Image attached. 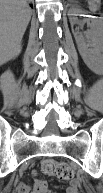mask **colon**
Returning <instances> with one entry per match:
<instances>
[{
    "label": "colon",
    "mask_w": 103,
    "mask_h": 193,
    "mask_svg": "<svg viewBox=\"0 0 103 193\" xmlns=\"http://www.w3.org/2000/svg\"><path fill=\"white\" fill-rule=\"evenodd\" d=\"M41 168L46 175L55 176L61 180H70L75 175V170L69 164L53 159L44 160Z\"/></svg>",
    "instance_id": "colon-1"
}]
</instances>
